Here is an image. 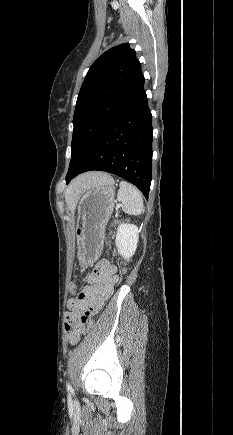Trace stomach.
Wrapping results in <instances>:
<instances>
[{"mask_svg":"<svg viewBox=\"0 0 233 435\" xmlns=\"http://www.w3.org/2000/svg\"><path fill=\"white\" fill-rule=\"evenodd\" d=\"M115 203V182L108 177L84 191L78 200L76 237L78 259L82 267L92 265L102 250L105 226Z\"/></svg>","mask_w":233,"mask_h":435,"instance_id":"1","label":"stomach"}]
</instances>
